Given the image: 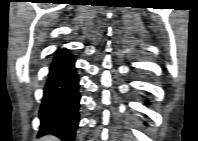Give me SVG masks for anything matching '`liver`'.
<instances>
[{
  "label": "liver",
  "mask_w": 198,
  "mask_h": 141,
  "mask_svg": "<svg viewBox=\"0 0 198 141\" xmlns=\"http://www.w3.org/2000/svg\"><path fill=\"white\" fill-rule=\"evenodd\" d=\"M42 141H58V139L54 136H46L42 138Z\"/></svg>",
  "instance_id": "liver-1"
}]
</instances>
